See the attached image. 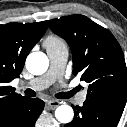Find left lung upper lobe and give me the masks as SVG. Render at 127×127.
<instances>
[{
    "mask_svg": "<svg viewBox=\"0 0 127 127\" xmlns=\"http://www.w3.org/2000/svg\"><path fill=\"white\" fill-rule=\"evenodd\" d=\"M51 30L69 44L73 74L79 72L88 86L86 101L124 110L127 68L120 45L107 29L83 15L49 21Z\"/></svg>",
    "mask_w": 127,
    "mask_h": 127,
    "instance_id": "5c2ea615",
    "label": "left lung upper lobe"
}]
</instances>
